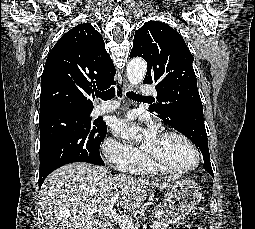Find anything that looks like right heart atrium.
Returning a JSON list of instances; mask_svg holds the SVG:
<instances>
[{
  "label": "right heart atrium",
  "instance_id": "d8ad5b80",
  "mask_svg": "<svg viewBox=\"0 0 255 229\" xmlns=\"http://www.w3.org/2000/svg\"><path fill=\"white\" fill-rule=\"evenodd\" d=\"M101 150L104 157L119 168H123L141 155L138 149L113 138L104 140Z\"/></svg>",
  "mask_w": 255,
  "mask_h": 229
}]
</instances>
